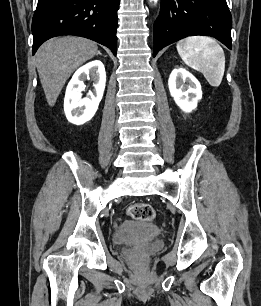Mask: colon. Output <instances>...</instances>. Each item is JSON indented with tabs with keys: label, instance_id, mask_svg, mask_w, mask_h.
Returning a JSON list of instances; mask_svg holds the SVG:
<instances>
[{
	"label": "colon",
	"instance_id": "1",
	"mask_svg": "<svg viewBox=\"0 0 261 306\" xmlns=\"http://www.w3.org/2000/svg\"><path fill=\"white\" fill-rule=\"evenodd\" d=\"M127 214L136 219L151 222L155 219L154 208L147 203L132 204L127 208Z\"/></svg>",
	"mask_w": 261,
	"mask_h": 306
}]
</instances>
